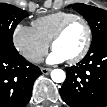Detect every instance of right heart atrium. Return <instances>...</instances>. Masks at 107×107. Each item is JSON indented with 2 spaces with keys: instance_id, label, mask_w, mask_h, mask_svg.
I'll return each instance as SVG.
<instances>
[{
  "instance_id": "right-heart-atrium-1",
  "label": "right heart atrium",
  "mask_w": 107,
  "mask_h": 107,
  "mask_svg": "<svg viewBox=\"0 0 107 107\" xmlns=\"http://www.w3.org/2000/svg\"><path fill=\"white\" fill-rule=\"evenodd\" d=\"M12 41L16 50L31 63H39L49 48V44L43 41L32 27L25 24L15 26Z\"/></svg>"
}]
</instances>
